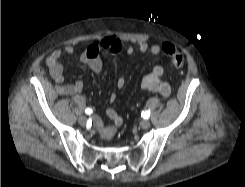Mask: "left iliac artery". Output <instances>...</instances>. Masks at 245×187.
<instances>
[{
	"label": "left iliac artery",
	"instance_id": "1",
	"mask_svg": "<svg viewBox=\"0 0 245 187\" xmlns=\"http://www.w3.org/2000/svg\"><path fill=\"white\" fill-rule=\"evenodd\" d=\"M142 115H143L145 118H149V116H150V110H149V111H148V110L143 111V112H142Z\"/></svg>",
	"mask_w": 245,
	"mask_h": 187
}]
</instances>
